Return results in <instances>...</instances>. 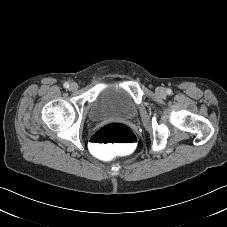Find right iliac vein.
Here are the masks:
<instances>
[{"instance_id":"1","label":"right iliac vein","mask_w":227,"mask_h":227,"mask_svg":"<svg viewBox=\"0 0 227 227\" xmlns=\"http://www.w3.org/2000/svg\"><path fill=\"white\" fill-rule=\"evenodd\" d=\"M77 89H78L77 83L73 82V83L70 84V90H71V91H75V90H77Z\"/></svg>"}]
</instances>
